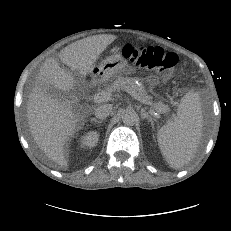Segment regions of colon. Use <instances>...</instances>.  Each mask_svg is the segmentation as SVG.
I'll use <instances>...</instances> for the list:
<instances>
[{"label":"colon","instance_id":"colon-1","mask_svg":"<svg viewBox=\"0 0 231 231\" xmlns=\"http://www.w3.org/2000/svg\"><path fill=\"white\" fill-rule=\"evenodd\" d=\"M122 55L137 66L170 74L178 62L172 52H165L160 47H137L125 44L121 47Z\"/></svg>","mask_w":231,"mask_h":231}]
</instances>
